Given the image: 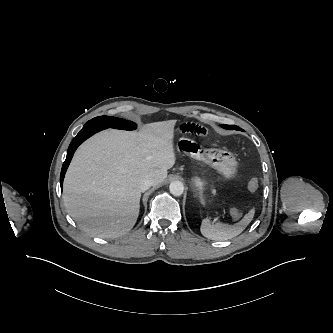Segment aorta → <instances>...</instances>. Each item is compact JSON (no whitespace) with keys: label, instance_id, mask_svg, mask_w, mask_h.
<instances>
[{"label":"aorta","instance_id":"1","mask_svg":"<svg viewBox=\"0 0 333 333\" xmlns=\"http://www.w3.org/2000/svg\"><path fill=\"white\" fill-rule=\"evenodd\" d=\"M170 193L174 196H181L184 192V186L181 181H173L169 186Z\"/></svg>","mask_w":333,"mask_h":333}]
</instances>
